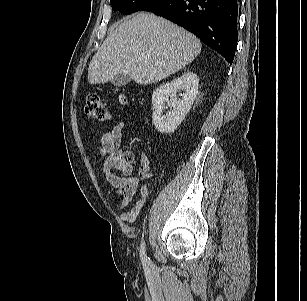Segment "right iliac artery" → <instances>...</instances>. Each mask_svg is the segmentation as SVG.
Returning a JSON list of instances; mask_svg holds the SVG:
<instances>
[{"label": "right iliac artery", "mask_w": 307, "mask_h": 301, "mask_svg": "<svg viewBox=\"0 0 307 301\" xmlns=\"http://www.w3.org/2000/svg\"><path fill=\"white\" fill-rule=\"evenodd\" d=\"M140 257H141V261L144 264H149L150 263V259L146 255V249H145V242L144 241H142V243H141Z\"/></svg>", "instance_id": "82829eb1"}]
</instances>
